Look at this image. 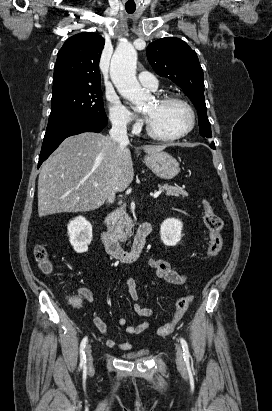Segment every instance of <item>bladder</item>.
Returning a JSON list of instances; mask_svg holds the SVG:
<instances>
[{
  "instance_id": "31cf9c89",
  "label": "bladder",
  "mask_w": 272,
  "mask_h": 411,
  "mask_svg": "<svg viewBox=\"0 0 272 411\" xmlns=\"http://www.w3.org/2000/svg\"><path fill=\"white\" fill-rule=\"evenodd\" d=\"M145 356H146V354H144V353H135V354L124 355V358L130 359V360H135V359L144 358Z\"/></svg>"
}]
</instances>
